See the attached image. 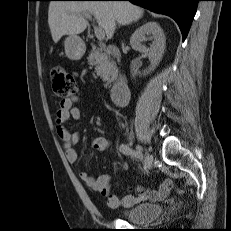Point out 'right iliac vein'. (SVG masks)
Returning <instances> with one entry per match:
<instances>
[{
    "label": "right iliac vein",
    "instance_id": "1",
    "mask_svg": "<svg viewBox=\"0 0 231 231\" xmlns=\"http://www.w3.org/2000/svg\"><path fill=\"white\" fill-rule=\"evenodd\" d=\"M153 163V157L149 153H146L145 155V165H147L149 168L151 167Z\"/></svg>",
    "mask_w": 231,
    "mask_h": 231
}]
</instances>
